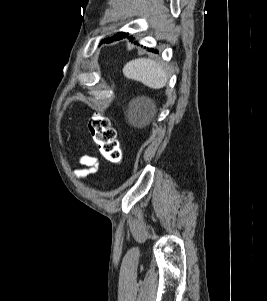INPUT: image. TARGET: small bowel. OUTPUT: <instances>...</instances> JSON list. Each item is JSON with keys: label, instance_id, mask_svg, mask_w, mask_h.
Returning a JSON list of instances; mask_svg holds the SVG:
<instances>
[{"label": "small bowel", "instance_id": "small-bowel-1", "mask_svg": "<svg viewBox=\"0 0 267 301\" xmlns=\"http://www.w3.org/2000/svg\"><path fill=\"white\" fill-rule=\"evenodd\" d=\"M79 164L81 165V168L76 169L74 172L78 178H85L97 172L98 160L93 156H81L79 159Z\"/></svg>", "mask_w": 267, "mask_h": 301}]
</instances>
